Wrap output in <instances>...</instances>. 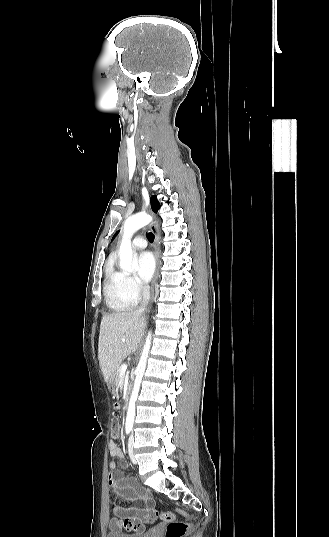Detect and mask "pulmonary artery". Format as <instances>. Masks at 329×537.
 Segmentation results:
<instances>
[{
    "mask_svg": "<svg viewBox=\"0 0 329 537\" xmlns=\"http://www.w3.org/2000/svg\"><path fill=\"white\" fill-rule=\"evenodd\" d=\"M147 246V242L144 238L142 237H136L133 241H132V247L134 249H137V250H141V249H144L146 248Z\"/></svg>",
    "mask_w": 329,
    "mask_h": 537,
    "instance_id": "1",
    "label": "pulmonary artery"
}]
</instances>
